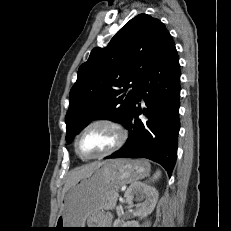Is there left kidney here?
Wrapping results in <instances>:
<instances>
[{"label":"left kidney","instance_id":"1","mask_svg":"<svg viewBox=\"0 0 231 231\" xmlns=\"http://www.w3.org/2000/svg\"><path fill=\"white\" fill-rule=\"evenodd\" d=\"M158 195V191L155 188L143 183H135L126 190L124 197L130 207L133 206V200L138 202L135 205L136 210L134 214L142 219L152 213L156 206ZM118 223L119 221L115 222V224Z\"/></svg>","mask_w":231,"mask_h":231}]
</instances>
